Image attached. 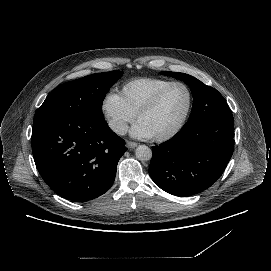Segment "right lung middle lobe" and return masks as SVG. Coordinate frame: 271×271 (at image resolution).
Masks as SVG:
<instances>
[{
    "label": "right lung middle lobe",
    "instance_id": "obj_1",
    "mask_svg": "<svg viewBox=\"0 0 271 271\" xmlns=\"http://www.w3.org/2000/svg\"><path fill=\"white\" fill-rule=\"evenodd\" d=\"M122 75L121 71H110L88 75L60 85L37 109L33 121L50 116L104 119L103 100L111 86Z\"/></svg>",
    "mask_w": 271,
    "mask_h": 271
}]
</instances>
